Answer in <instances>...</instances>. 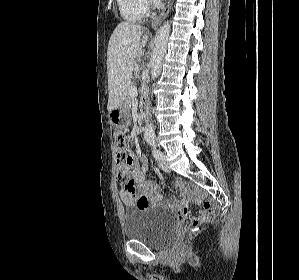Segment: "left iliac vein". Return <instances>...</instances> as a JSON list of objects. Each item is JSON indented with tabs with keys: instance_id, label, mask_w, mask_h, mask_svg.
I'll return each instance as SVG.
<instances>
[{
	"instance_id": "4c4485c4",
	"label": "left iliac vein",
	"mask_w": 299,
	"mask_h": 280,
	"mask_svg": "<svg viewBox=\"0 0 299 280\" xmlns=\"http://www.w3.org/2000/svg\"><path fill=\"white\" fill-rule=\"evenodd\" d=\"M159 167L165 172H170V167L167 163L165 154H163L162 159L159 160Z\"/></svg>"
}]
</instances>
